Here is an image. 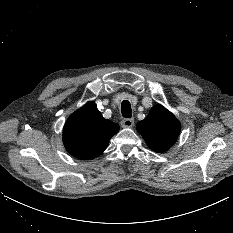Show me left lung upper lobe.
I'll return each instance as SVG.
<instances>
[{"instance_id":"obj_1","label":"left lung upper lobe","mask_w":233,"mask_h":233,"mask_svg":"<svg viewBox=\"0 0 233 233\" xmlns=\"http://www.w3.org/2000/svg\"><path fill=\"white\" fill-rule=\"evenodd\" d=\"M180 128V122L162 105H155L149 115L137 124V131L155 152H165L173 146Z\"/></svg>"}]
</instances>
